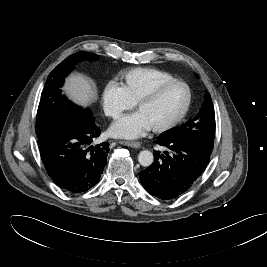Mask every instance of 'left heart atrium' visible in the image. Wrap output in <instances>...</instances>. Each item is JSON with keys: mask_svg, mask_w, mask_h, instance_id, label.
I'll use <instances>...</instances> for the list:
<instances>
[{"mask_svg": "<svg viewBox=\"0 0 267 267\" xmlns=\"http://www.w3.org/2000/svg\"><path fill=\"white\" fill-rule=\"evenodd\" d=\"M151 127L145 117L138 111L118 118L110 131L114 136L122 138H137Z\"/></svg>", "mask_w": 267, "mask_h": 267, "instance_id": "39dd6f15", "label": "left heart atrium"}]
</instances>
